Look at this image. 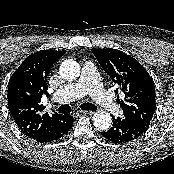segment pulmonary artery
Returning a JSON list of instances; mask_svg holds the SVG:
<instances>
[{
	"mask_svg": "<svg viewBox=\"0 0 174 174\" xmlns=\"http://www.w3.org/2000/svg\"><path fill=\"white\" fill-rule=\"evenodd\" d=\"M87 94L107 111L119 112L112 96L103 88L99 74L92 62H86L82 67L80 78L58 89L53 98L57 103H68Z\"/></svg>",
	"mask_w": 174,
	"mask_h": 174,
	"instance_id": "pulmonary-artery-1",
	"label": "pulmonary artery"
}]
</instances>
